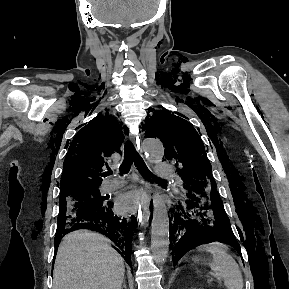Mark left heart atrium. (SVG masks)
<instances>
[{
  "mask_svg": "<svg viewBox=\"0 0 289 289\" xmlns=\"http://www.w3.org/2000/svg\"><path fill=\"white\" fill-rule=\"evenodd\" d=\"M147 195L142 191H134L121 195L116 203L120 213L128 214L136 212L146 202Z\"/></svg>",
  "mask_w": 289,
  "mask_h": 289,
  "instance_id": "obj_1",
  "label": "left heart atrium"
}]
</instances>
